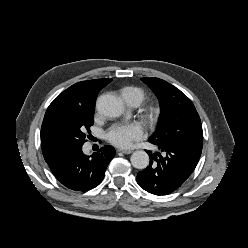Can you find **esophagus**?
I'll return each mask as SVG.
<instances>
[{
    "label": "esophagus",
    "instance_id": "34e87169",
    "mask_svg": "<svg viewBox=\"0 0 248 248\" xmlns=\"http://www.w3.org/2000/svg\"><path fill=\"white\" fill-rule=\"evenodd\" d=\"M118 151L124 154H131L133 152L131 149H118Z\"/></svg>",
    "mask_w": 248,
    "mask_h": 248
}]
</instances>
